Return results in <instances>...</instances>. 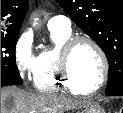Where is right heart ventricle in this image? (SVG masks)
<instances>
[{"label":"right heart ventricle","instance_id":"right-heart-ventricle-1","mask_svg":"<svg viewBox=\"0 0 123 113\" xmlns=\"http://www.w3.org/2000/svg\"><path fill=\"white\" fill-rule=\"evenodd\" d=\"M50 35L53 46L43 48L37 56L33 77L34 87L45 93L66 89L74 94H79L68 87L60 73L61 48L65 41L71 37V30H50Z\"/></svg>","mask_w":123,"mask_h":113}]
</instances>
